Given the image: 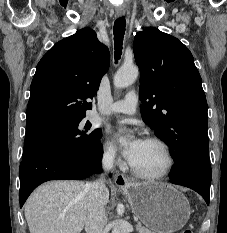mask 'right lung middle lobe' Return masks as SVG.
Instances as JSON below:
<instances>
[{"label": "right lung middle lobe", "mask_w": 227, "mask_h": 233, "mask_svg": "<svg viewBox=\"0 0 227 233\" xmlns=\"http://www.w3.org/2000/svg\"><path fill=\"white\" fill-rule=\"evenodd\" d=\"M91 126L90 122L80 118L28 134L24 141L23 158L52 149L89 150L102 137L101 130L91 131Z\"/></svg>", "instance_id": "dd1d6c3e"}]
</instances>
